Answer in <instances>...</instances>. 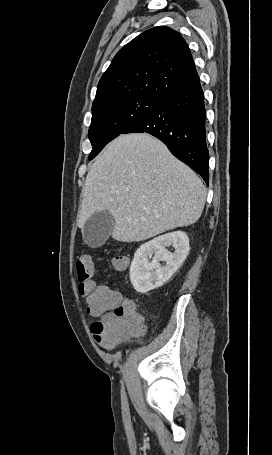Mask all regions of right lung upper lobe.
Here are the masks:
<instances>
[{"instance_id": "1", "label": "right lung upper lobe", "mask_w": 272, "mask_h": 455, "mask_svg": "<svg viewBox=\"0 0 272 455\" xmlns=\"http://www.w3.org/2000/svg\"><path fill=\"white\" fill-rule=\"evenodd\" d=\"M199 79L189 47L177 31L149 29L114 57L102 75L93 106L135 97H169Z\"/></svg>"}]
</instances>
